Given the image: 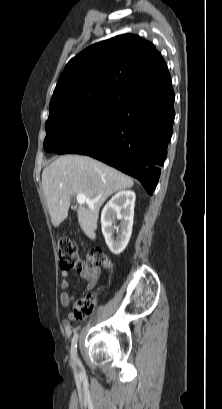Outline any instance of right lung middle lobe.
Instances as JSON below:
<instances>
[{"instance_id": "1", "label": "right lung middle lobe", "mask_w": 222, "mask_h": 409, "mask_svg": "<svg viewBox=\"0 0 222 409\" xmlns=\"http://www.w3.org/2000/svg\"><path fill=\"white\" fill-rule=\"evenodd\" d=\"M118 103L77 104L49 113L44 149L58 154L87 155L106 138Z\"/></svg>"}]
</instances>
